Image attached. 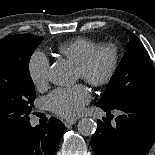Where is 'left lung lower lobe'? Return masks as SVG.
Masks as SVG:
<instances>
[{
    "mask_svg": "<svg viewBox=\"0 0 155 155\" xmlns=\"http://www.w3.org/2000/svg\"><path fill=\"white\" fill-rule=\"evenodd\" d=\"M104 111L124 112L111 124L98 121L91 146L95 155H146L155 141V91L139 92L114 106L97 103Z\"/></svg>",
    "mask_w": 155,
    "mask_h": 155,
    "instance_id": "left-lung-lower-lobe-1",
    "label": "left lung lower lobe"
}]
</instances>
